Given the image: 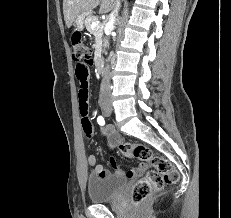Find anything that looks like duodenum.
Returning <instances> with one entry per match:
<instances>
[{"label":"duodenum","instance_id":"obj_1","mask_svg":"<svg viewBox=\"0 0 231 218\" xmlns=\"http://www.w3.org/2000/svg\"><path fill=\"white\" fill-rule=\"evenodd\" d=\"M93 64H94V67L97 71H100L101 69V57H100V54L97 53L94 57V60H93Z\"/></svg>","mask_w":231,"mask_h":218}]
</instances>
